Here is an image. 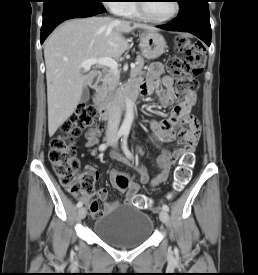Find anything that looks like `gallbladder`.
<instances>
[{
    "label": "gallbladder",
    "instance_id": "1",
    "mask_svg": "<svg viewBox=\"0 0 258 275\" xmlns=\"http://www.w3.org/2000/svg\"><path fill=\"white\" fill-rule=\"evenodd\" d=\"M89 98H90L89 89H88V87H84L83 91H82V94H81L80 101L83 102V103H85V102H87L89 100Z\"/></svg>",
    "mask_w": 258,
    "mask_h": 275
}]
</instances>
